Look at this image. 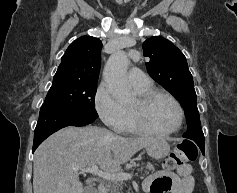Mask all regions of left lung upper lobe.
Returning <instances> with one entry per match:
<instances>
[{
  "label": "left lung upper lobe",
  "mask_w": 237,
  "mask_h": 193,
  "mask_svg": "<svg viewBox=\"0 0 237 193\" xmlns=\"http://www.w3.org/2000/svg\"><path fill=\"white\" fill-rule=\"evenodd\" d=\"M142 47L150 76L167 89L184 109L188 129L183 137L193 140L199 148L204 147L193 78L185 56L163 37L148 38Z\"/></svg>",
  "instance_id": "5c2ea615"
}]
</instances>
